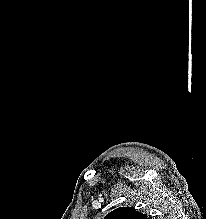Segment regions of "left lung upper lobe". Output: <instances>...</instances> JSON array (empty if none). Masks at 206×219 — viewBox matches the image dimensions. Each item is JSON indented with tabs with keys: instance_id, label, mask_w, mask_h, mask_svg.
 Masks as SVG:
<instances>
[{
	"instance_id": "5c2ea615",
	"label": "left lung upper lobe",
	"mask_w": 206,
	"mask_h": 219,
	"mask_svg": "<svg viewBox=\"0 0 206 219\" xmlns=\"http://www.w3.org/2000/svg\"><path fill=\"white\" fill-rule=\"evenodd\" d=\"M104 219H148V217L132 207H120L110 212Z\"/></svg>"
}]
</instances>
